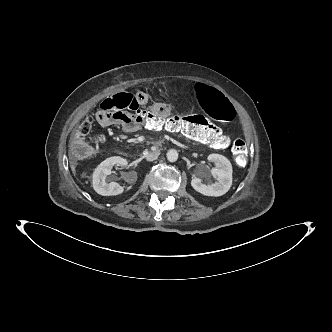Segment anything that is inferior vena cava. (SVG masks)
<instances>
[{"label": "inferior vena cava", "instance_id": "obj_1", "mask_svg": "<svg viewBox=\"0 0 332 332\" xmlns=\"http://www.w3.org/2000/svg\"><path fill=\"white\" fill-rule=\"evenodd\" d=\"M159 154H160L159 151L150 152L146 155V160L147 161H154L155 159L158 158Z\"/></svg>", "mask_w": 332, "mask_h": 332}]
</instances>
